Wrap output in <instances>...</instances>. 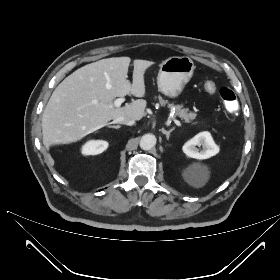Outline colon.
I'll list each match as a JSON object with an SVG mask.
<instances>
[{"label":"colon","mask_w":280,"mask_h":280,"mask_svg":"<svg viewBox=\"0 0 280 280\" xmlns=\"http://www.w3.org/2000/svg\"><path fill=\"white\" fill-rule=\"evenodd\" d=\"M204 89L206 92L213 94L216 91V85L213 81H205ZM219 95L223 101L225 109L229 113H235L238 110V101L235 93L228 87H221L219 89Z\"/></svg>","instance_id":"obj_1"}]
</instances>
